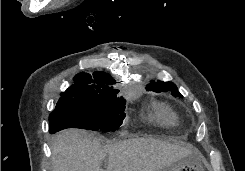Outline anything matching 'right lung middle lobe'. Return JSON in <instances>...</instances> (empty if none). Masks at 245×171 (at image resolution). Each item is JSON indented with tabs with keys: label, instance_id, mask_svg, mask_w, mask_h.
Instances as JSON below:
<instances>
[{
	"label": "right lung middle lobe",
	"instance_id": "obj_1",
	"mask_svg": "<svg viewBox=\"0 0 245 171\" xmlns=\"http://www.w3.org/2000/svg\"><path fill=\"white\" fill-rule=\"evenodd\" d=\"M124 110L125 100L122 97L60 101L49 116V132L53 134L66 128L115 131L125 118Z\"/></svg>",
	"mask_w": 245,
	"mask_h": 171
}]
</instances>
